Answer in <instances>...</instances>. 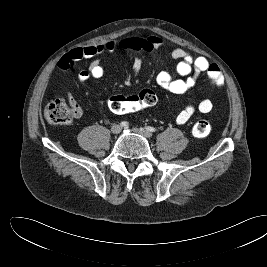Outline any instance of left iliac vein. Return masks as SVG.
Returning <instances> with one entry per match:
<instances>
[{
	"instance_id": "4c4485c4",
	"label": "left iliac vein",
	"mask_w": 267,
	"mask_h": 267,
	"mask_svg": "<svg viewBox=\"0 0 267 267\" xmlns=\"http://www.w3.org/2000/svg\"><path fill=\"white\" fill-rule=\"evenodd\" d=\"M132 131L136 134H139V135L145 137V138H151L152 137V133L143 129V128L134 127V128H132Z\"/></svg>"
}]
</instances>
